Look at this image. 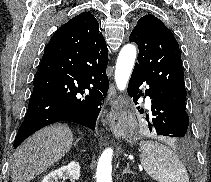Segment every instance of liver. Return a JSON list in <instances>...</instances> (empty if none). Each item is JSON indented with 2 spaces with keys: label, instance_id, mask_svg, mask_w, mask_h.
I'll return each instance as SVG.
<instances>
[{
  "label": "liver",
  "instance_id": "liver-1",
  "mask_svg": "<svg viewBox=\"0 0 211 182\" xmlns=\"http://www.w3.org/2000/svg\"><path fill=\"white\" fill-rule=\"evenodd\" d=\"M73 133L65 125L45 127L26 139L11 161L12 182H30L70 150Z\"/></svg>",
  "mask_w": 211,
  "mask_h": 182
}]
</instances>
